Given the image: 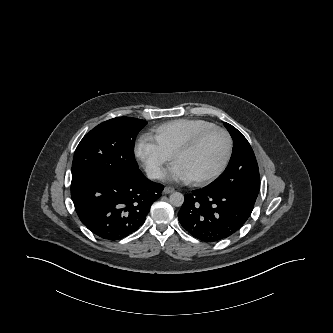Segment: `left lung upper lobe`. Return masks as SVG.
I'll return each instance as SVG.
<instances>
[{
  "label": "left lung upper lobe",
  "instance_id": "1",
  "mask_svg": "<svg viewBox=\"0 0 333 333\" xmlns=\"http://www.w3.org/2000/svg\"><path fill=\"white\" fill-rule=\"evenodd\" d=\"M224 125L234 142L233 154L225 171L210 185L227 188L255 202L260 176L254 152L240 131L228 123Z\"/></svg>",
  "mask_w": 333,
  "mask_h": 333
}]
</instances>
